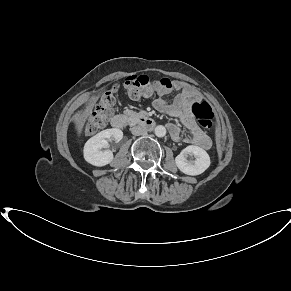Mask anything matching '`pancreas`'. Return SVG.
<instances>
[{"mask_svg": "<svg viewBox=\"0 0 291 291\" xmlns=\"http://www.w3.org/2000/svg\"><path fill=\"white\" fill-rule=\"evenodd\" d=\"M146 114L147 113L145 111L136 112V111L129 110V109H127V110L124 111V115L126 117H128L131 125L137 123L139 121V119L141 117H143L144 115H146Z\"/></svg>", "mask_w": 291, "mask_h": 291, "instance_id": "cf45deb5", "label": "pancreas"}]
</instances>
